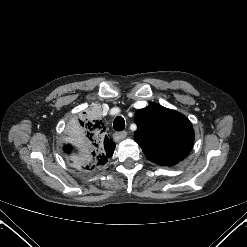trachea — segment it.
Returning <instances> with one entry per match:
<instances>
[{"mask_svg": "<svg viewBox=\"0 0 247 247\" xmlns=\"http://www.w3.org/2000/svg\"><path fill=\"white\" fill-rule=\"evenodd\" d=\"M113 128L115 131H122L125 128V121L121 116H118L113 121Z\"/></svg>", "mask_w": 247, "mask_h": 247, "instance_id": "1", "label": "trachea"}]
</instances>
